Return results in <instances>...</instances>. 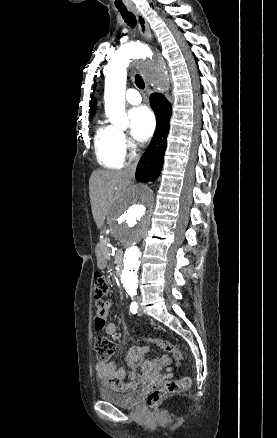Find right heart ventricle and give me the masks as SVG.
<instances>
[{
	"label": "right heart ventricle",
	"instance_id": "right-heart-ventricle-1",
	"mask_svg": "<svg viewBox=\"0 0 277 438\" xmlns=\"http://www.w3.org/2000/svg\"><path fill=\"white\" fill-rule=\"evenodd\" d=\"M108 116V115H106ZM120 130L114 125L99 127L95 135V152L98 162L108 169H121L124 155L119 145Z\"/></svg>",
	"mask_w": 277,
	"mask_h": 438
}]
</instances>
